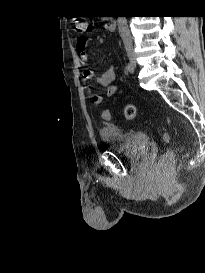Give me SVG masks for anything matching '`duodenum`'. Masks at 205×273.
Segmentation results:
<instances>
[{
  "instance_id": "410a0bca",
  "label": "duodenum",
  "mask_w": 205,
  "mask_h": 273,
  "mask_svg": "<svg viewBox=\"0 0 205 273\" xmlns=\"http://www.w3.org/2000/svg\"><path fill=\"white\" fill-rule=\"evenodd\" d=\"M115 27V22L113 19L109 18L107 19V21L104 24V28L106 31L111 32L114 30Z\"/></svg>"
}]
</instances>
